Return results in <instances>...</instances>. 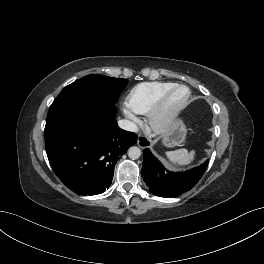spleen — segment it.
<instances>
[{
	"label": "spleen",
	"mask_w": 264,
	"mask_h": 264,
	"mask_svg": "<svg viewBox=\"0 0 264 264\" xmlns=\"http://www.w3.org/2000/svg\"><path fill=\"white\" fill-rule=\"evenodd\" d=\"M166 155L173 163L178 165H188L194 160L195 150L188 152L187 149L183 148L167 152Z\"/></svg>",
	"instance_id": "3e777b00"
}]
</instances>
